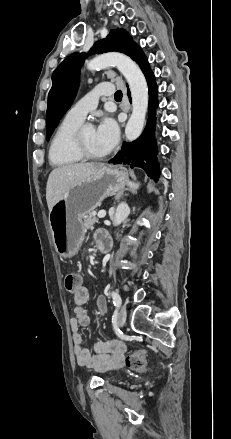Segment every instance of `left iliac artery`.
<instances>
[{
  "mask_svg": "<svg viewBox=\"0 0 231 439\" xmlns=\"http://www.w3.org/2000/svg\"><path fill=\"white\" fill-rule=\"evenodd\" d=\"M111 296L113 299L114 306L119 308L121 306V303H122L120 295L117 292L112 291Z\"/></svg>",
  "mask_w": 231,
  "mask_h": 439,
  "instance_id": "44dca946",
  "label": "left iliac artery"
}]
</instances>
